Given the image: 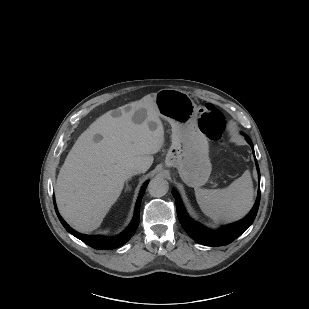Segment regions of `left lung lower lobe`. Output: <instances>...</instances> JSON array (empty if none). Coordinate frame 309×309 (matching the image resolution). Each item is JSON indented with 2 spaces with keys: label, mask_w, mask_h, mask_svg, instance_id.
Returning a JSON list of instances; mask_svg holds the SVG:
<instances>
[{
  "label": "left lung lower lobe",
  "mask_w": 309,
  "mask_h": 309,
  "mask_svg": "<svg viewBox=\"0 0 309 309\" xmlns=\"http://www.w3.org/2000/svg\"><path fill=\"white\" fill-rule=\"evenodd\" d=\"M246 140L251 146L253 150V154L255 156L252 141L247 136H246ZM255 162H256V167H257V171H258V175L260 179V171H259V166H258L256 157H255ZM173 196L175 197V200H176V208H177V215H178L179 221L182 227L184 228V230L195 241L203 245H206V246H224L234 241L253 223L256 217L258 208H259L260 188L258 190V196H257L256 202L252 210L249 212V214L246 217H244L242 220L236 223L224 226L215 232L207 231L202 225L192 220L187 215L179 195L176 192H173Z\"/></svg>",
  "instance_id": "obj_1"
}]
</instances>
